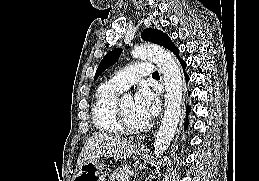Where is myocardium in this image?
<instances>
[{"mask_svg": "<svg viewBox=\"0 0 259 181\" xmlns=\"http://www.w3.org/2000/svg\"><path fill=\"white\" fill-rule=\"evenodd\" d=\"M117 113H118V117H119V122H120L123 130L128 133H139L148 128L147 123H144V124L132 123L120 105L117 106Z\"/></svg>", "mask_w": 259, "mask_h": 181, "instance_id": "myocardium-1", "label": "myocardium"}]
</instances>
